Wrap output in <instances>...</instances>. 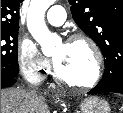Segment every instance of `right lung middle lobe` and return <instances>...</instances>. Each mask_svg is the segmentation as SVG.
<instances>
[{"label":"right lung middle lobe","mask_w":123,"mask_h":113,"mask_svg":"<svg viewBox=\"0 0 123 113\" xmlns=\"http://www.w3.org/2000/svg\"><path fill=\"white\" fill-rule=\"evenodd\" d=\"M18 29L1 30V78H16L19 72L17 59Z\"/></svg>","instance_id":"1"}]
</instances>
